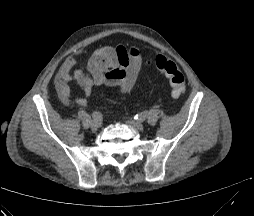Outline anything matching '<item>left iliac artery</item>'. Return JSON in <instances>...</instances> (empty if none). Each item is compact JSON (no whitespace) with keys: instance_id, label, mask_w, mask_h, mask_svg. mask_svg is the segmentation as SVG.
<instances>
[{"instance_id":"obj_1","label":"left iliac artery","mask_w":254,"mask_h":216,"mask_svg":"<svg viewBox=\"0 0 254 216\" xmlns=\"http://www.w3.org/2000/svg\"><path fill=\"white\" fill-rule=\"evenodd\" d=\"M150 117V113L145 111V112H142L140 114H136L134 116V118L138 121H144L145 119L149 118Z\"/></svg>"}]
</instances>
